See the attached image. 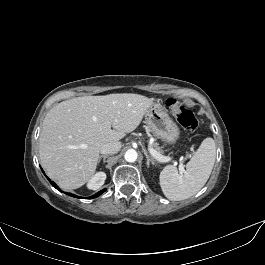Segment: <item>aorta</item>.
I'll use <instances>...</instances> for the list:
<instances>
[{
  "label": "aorta",
  "mask_w": 265,
  "mask_h": 265,
  "mask_svg": "<svg viewBox=\"0 0 265 265\" xmlns=\"http://www.w3.org/2000/svg\"><path fill=\"white\" fill-rule=\"evenodd\" d=\"M137 156L138 154L134 149H129L125 152L124 158L127 162H135Z\"/></svg>",
  "instance_id": "1"
}]
</instances>
